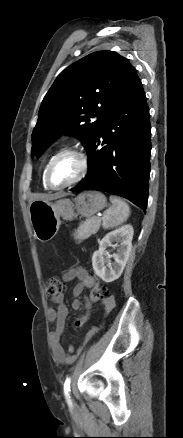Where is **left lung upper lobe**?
Returning <instances> with one entry per match:
<instances>
[{
    "mask_svg": "<svg viewBox=\"0 0 183 438\" xmlns=\"http://www.w3.org/2000/svg\"><path fill=\"white\" fill-rule=\"evenodd\" d=\"M137 78L129 61L113 51L94 52L71 64L41 103L32 154L40 156L63 131L79 137L87 149L102 121Z\"/></svg>",
    "mask_w": 183,
    "mask_h": 438,
    "instance_id": "5c2ea615",
    "label": "left lung upper lobe"
}]
</instances>
